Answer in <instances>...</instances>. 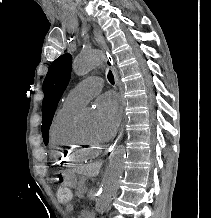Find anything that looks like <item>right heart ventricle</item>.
Returning <instances> with one entry per match:
<instances>
[{
  "instance_id": "obj_1",
  "label": "right heart ventricle",
  "mask_w": 211,
  "mask_h": 218,
  "mask_svg": "<svg viewBox=\"0 0 211 218\" xmlns=\"http://www.w3.org/2000/svg\"><path fill=\"white\" fill-rule=\"evenodd\" d=\"M78 109L62 106L55 114L51 136L57 144H51L54 165L59 169H71L99 155L100 152L84 148L80 143L76 120Z\"/></svg>"
}]
</instances>
